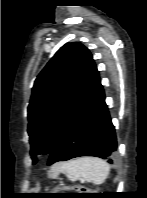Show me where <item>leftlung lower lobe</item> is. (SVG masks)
<instances>
[{
    "instance_id": "obj_1",
    "label": "left lung lower lobe",
    "mask_w": 147,
    "mask_h": 198,
    "mask_svg": "<svg viewBox=\"0 0 147 198\" xmlns=\"http://www.w3.org/2000/svg\"><path fill=\"white\" fill-rule=\"evenodd\" d=\"M116 149L115 129L98 75L88 97L50 152L48 165L80 156H96L112 163Z\"/></svg>"
}]
</instances>
